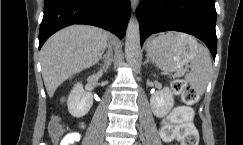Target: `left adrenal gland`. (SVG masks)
Masks as SVG:
<instances>
[{
  "label": "left adrenal gland",
  "instance_id": "obj_1",
  "mask_svg": "<svg viewBox=\"0 0 243 145\" xmlns=\"http://www.w3.org/2000/svg\"><path fill=\"white\" fill-rule=\"evenodd\" d=\"M150 62L151 61H150L149 57H147L146 60H145V62H144V64H147V63H150Z\"/></svg>",
  "mask_w": 243,
  "mask_h": 145
}]
</instances>
